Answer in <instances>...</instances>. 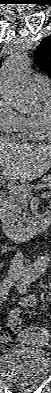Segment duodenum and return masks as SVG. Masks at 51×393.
<instances>
[{"instance_id": "1", "label": "duodenum", "mask_w": 51, "mask_h": 393, "mask_svg": "<svg viewBox=\"0 0 51 393\" xmlns=\"http://www.w3.org/2000/svg\"><path fill=\"white\" fill-rule=\"evenodd\" d=\"M6 203L7 199L6 196L1 193L0 194V222H1V227L4 232V234L14 240H21V239H27L35 234L45 231L50 223V218L49 214L46 213L40 220L24 225V226H19L16 225L13 221L10 220L7 212H6Z\"/></svg>"}]
</instances>
